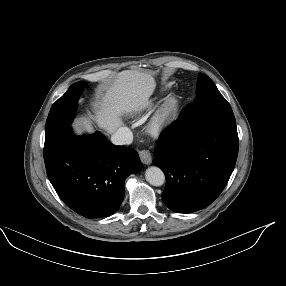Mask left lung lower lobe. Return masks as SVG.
I'll return each instance as SVG.
<instances>
[{
    "label": "left lung lower lobe",
    "instance_id": "0a47b994",
    "mask_svg": "<svg viewBox=\"0 0 286 286\" xmlns=\"http://www.w3.org/2000/svg\"><path fill=\"white\" fill-rule=\"evenodd\" d=\"M238 146L236 123L179 117L160 136L153 159L166 176V206L191 213L211 204L233 172Z\"/></svg>",
    "mask_w": 286,
    "mask_h": 286
}]
</instances>
